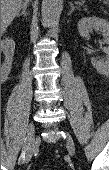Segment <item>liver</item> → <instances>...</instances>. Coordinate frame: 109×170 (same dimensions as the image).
Masks as SVG:
<instances>
[{
	"label": "liver",
	"instance_id": "obj_1",
	"mask_svg": "<svg viewBox=\"0 0 109 170\" xmlns=\"http://www.w3.org/2000/svg\"><path fill=\"white\" fill-rule=\"evenodd\" d=\"M23 0H1V30L5 29L13 21L21 9Z\"/></svg>",
	"mask_w": 109,
	"mask_h": 170
}]
</instances>
